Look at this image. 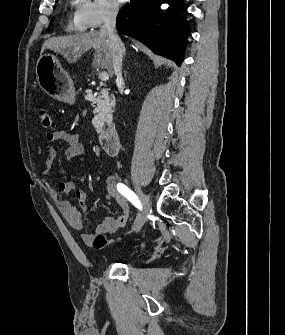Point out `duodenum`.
Instances as JSON below:
<instances>
[{
    "instance_id": "obj_1",
    "label": "duodenum",
    "mask_w": 285,
    "mask_h": 335,
    "mask_svg": "<svg viewBox=\"0 0 285 335\" xmlns=\"http://www.w3.org/2000/svg\"><path fill=\"white\" fill-rule=\"evenodd\" d=\"M102 150L109 156L116 155L119 150V135L116 125L111 123L103 128L98 136Z\"/></svg>"
}]
</instances>
